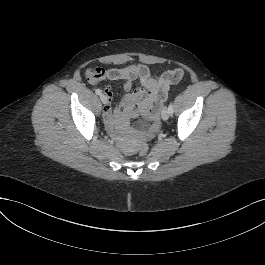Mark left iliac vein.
Segmentation results:
<instances>
[{"label": "left iliac vein", "mask_w": 265, "mask_h": 265, "mask_svg": "<svg viewBox=\"0 0 265 265\" xmlns=\"http://www.w3.org/2000/svg\"><path fill=\"white\" fill-rule=\"evenodd\" d=\"M169 111H168V108H164L162 113H161V117L164 121L168 120L169 119Z\"/></svg>", "instance_id": "4c4485c4"}]
</instances>
